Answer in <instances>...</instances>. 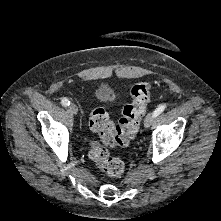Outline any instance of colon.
<instances>
[{
    "instance_id": "1",
    "label": "colon",
    "mask_w": 221,
    "mask_h": 221,
    "mask_svg": "<svg viewBox=\"0 0 221 221\" xmlns=\"http://www.w3.org/2000/svg\"><path fill=\"white\" fill-rule=\"evenodd\" d=\"M150 89L151 85L146 82L132 87L131 103L124 107L117 125L101 107L93 109L90 114V128L100 136L101 142L95 141L91 144L89 157L108 177H119L124 172L123 161L112 157L108 148L127 146L137 135L149 102Z\"/></svg>"
}]
</instances>
